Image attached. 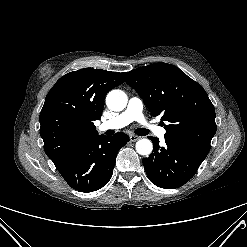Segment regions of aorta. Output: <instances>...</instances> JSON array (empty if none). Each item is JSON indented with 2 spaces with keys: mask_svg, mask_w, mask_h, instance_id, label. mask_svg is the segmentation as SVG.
<instances>
[{
  "mask_svg": "<svg viewBox=\"0 0 247 247\" xmlns=\"http://www.w3.org/2000/svg\"><path fill=\"white\" fill-rule=\"evenodd\" d=\"M128 102L125 92L121 90H112L107 94L106 104L113 111L123 110ZM153 150L152 142L149 139H140L136 143V151L140 155L148 156Z\"/></svg>",
  "mask_w": 247,
  "mask_h": 247,
  "instance_id": "762f6f07",
  "label": "aorta"
}]
</instances>
